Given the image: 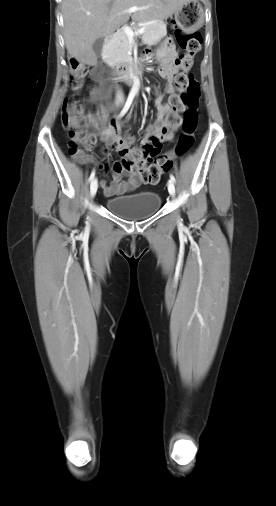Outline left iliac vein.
<instances>
[{
	"label": "left iliac vein",
	"mask_w": 276,
	"mask_h": 506,
	"mask_svg": "<svg viewBox=\"0 0 276 506\" xmlns=\"http://www.w3.org/2000/svg\"><path fill=\"white\" fill-rule=\"evenodd\" d=\"M168 191H169V193H170L171 196L175 195V186H174V184H173L172 181L168 182Z\"/></svg>",
	"instance_id": "1"
}]
</instances>
